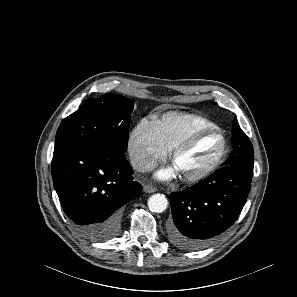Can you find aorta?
<instances>
[{"label": "aorta", "mask_w": 297, "mask_h": 297, "mask_svg": "<svg viewBox=\"0 0 297 297\" xmlns=\"http://www.w3.org/2000/svg\"><path fill=\"white\" fill-rule=\"evenodd\" d=\"M168 200L164 195L154 194L148 200V207L150 211L155 213H162L166 210Z\"/></svg>", "instance_id": "1"}]
</instances>
